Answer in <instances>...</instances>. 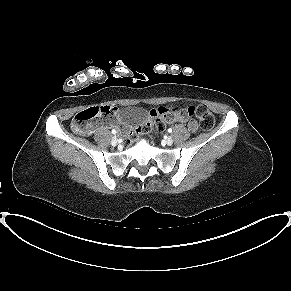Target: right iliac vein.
Instances as JSON below:
<instances>
[{
	"label": "right iliac vein",
	"instance_id": "63e3f726",
	"mask_svg": "<svg viewBox=\"0 0 291 291\" xmlns=\"http://www.w3.org/2000/svg\"><path fill=\"white\" fill-rule=\"evenodd\" d=\"M117 143H118V139H117L116 136H114V137L112 138V140H111V144H112L113 146H116Z\"/></svg>",
	"mask_w": 291,
	"mask_h": 291
}]
</instances>
